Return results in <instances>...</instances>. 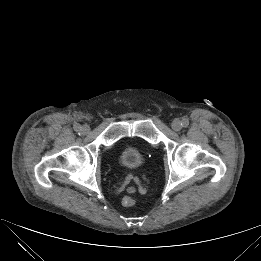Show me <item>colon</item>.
<instances>
[{
	"label": "colon",
	"mask_w": 261,
	"mask_h": 261,
	"mask_svg": "<svg viewBox=\"0 0 261 261\" xmlns=\"http://www.w3.org/2000/svg\"><path fill=\"white\" fill-rule=\"evenodd\" d=\"M136 203V200L134 197L132 196H125L123 199H122V204L125 206V207H131V206H134Z\"/></svg>",
	"instance_id": "obj_1"
}]
</instances>
